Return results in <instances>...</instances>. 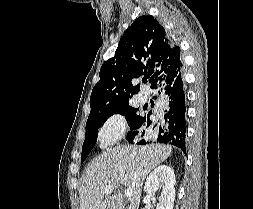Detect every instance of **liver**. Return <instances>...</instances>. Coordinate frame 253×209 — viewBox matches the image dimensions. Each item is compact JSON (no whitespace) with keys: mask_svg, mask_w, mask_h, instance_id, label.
<instances>
[{"mask_svg":"<svg viewBox=\"0 0 253 209\" xmlns=\"http://www.w3.org/2000/svg\"><path fill=\"white\" fill-rule=\"evenodd\" d=\"M171 153L172 146L164 144L107 149L85 170L79 189L80 209H124L120 185L133 192L127 209H138L146 176ZM107 185H112V192L105 196Z\"/></svg>","mask_w":253,"mask_h":209,"instance_id":"liver-1","label":"liver"}]
</instances>
